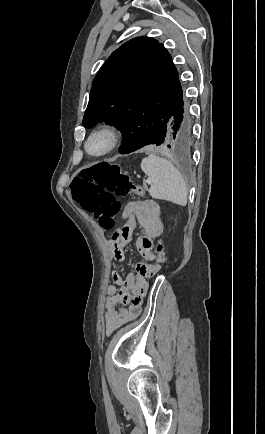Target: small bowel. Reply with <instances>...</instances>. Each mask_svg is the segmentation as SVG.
I'll return each instance as SVG.
<instances>
[{
  "mask_svg": "<svg viewBox=\"0 0 265 434\" xmlns=\"http://www.w3.org/2000/svg\"><path fill=\"white\" fill-rule=\"evenodd\" d=\"M124 218L125 224L121 231L125 230L126 236L116 238L113 234L110 239L114 258L118 262L126 260L125 246L136 226H139L141 235L137 238V249L145 260H154L156 256L154 239L163 232L160 205L152 199L130 202L125 207ZM137 266L134 271L139 275L130 273L125 278L123 269H115L113 284H108L106 287L104 326L107 335H111L116 329L132 321L141 313L144 286L137 280H143V277H153L154 273L151 269L139 264ZM146 295L148 292H145L143 298H146Z\"/></svg>",
  "mask_w": 265,
  "mask_h": 434,
  "instance_id": "1",
  "label": "small bowel"
}]
</instances>
